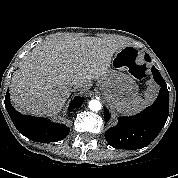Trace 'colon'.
Returning a JSON list of instances; mask_svg holds the SVG:
<instances>
[{
	"instance_id": "colon-1",
	"label": "colon",
	"mask_w": 178,
	"mask_h": 178,
	"mask_svg": "<svg viewBox=\"0 0 178 178\" xmlns=\"http://www.w3.org/2000/svg\"><path fill=\"white\" fill-rule=\"evenodd\" d=\"M132 74L138 78L142 79L146 75V67L145 65H137L133 67Z\"/></svg>"
}]
</instances>
